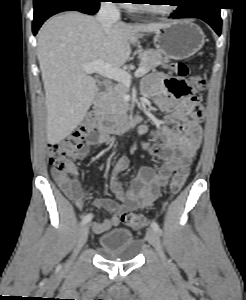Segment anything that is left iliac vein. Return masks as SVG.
<instances>
[{
    "label": "left iliac vein",
    "instance_id": "obj_1",
    "mask_svg": "<svg viewBox=\"0 0 246 300\" xmlns=\"http://www.w3.org/2000/svg\"><path fill=\"white\" fill-rule=\"evenodd\" d=\"M146 238L148 242L156 249L157 253L159 254L161 260L169 264L160 244L159 234L153 228H149L146 233Z\"/></svg>",
    "mask_w": 246,
    "mask_h": 300
}]
</instances>
